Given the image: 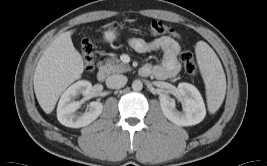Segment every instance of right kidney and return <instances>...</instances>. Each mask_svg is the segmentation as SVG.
Wrapping results in <instances>:
<instances>
[{
  "instance_id": "1",
  "label": "right kidney",
  "mask_w": 267,
  "mask_h": 166,
  "mask_svg": "<svg viewBox=\"0 0 267 166\" xmlns=\"http://www.w3.org/2000/svg\"><path fill=\"white\" fill-rule=\"evenodd\" d=\"M91 89L92 84L89 81L80 80L65 90L57 107V119L62 125L80 128L89 125L99 117L103 109V105L100 102H91L88 105V111L81 115L75 114L82 104L79 101H75V97L77 95L86 97L90 94Z\"/></svg>"
}]
</instances>
